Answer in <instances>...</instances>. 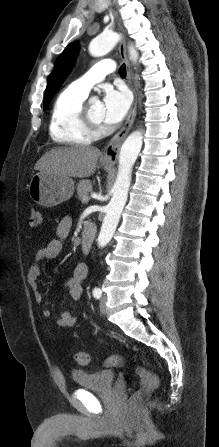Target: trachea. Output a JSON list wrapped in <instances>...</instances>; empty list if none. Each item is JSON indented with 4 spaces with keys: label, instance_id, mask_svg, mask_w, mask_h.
<instances>
[{
    "label": "trachea",
    "instance_id": "1",
    "mask_svg": "<svg viewBox=\"0 0 219 447\" xmlns=\"http://www.w3.org/2000/svg\"><path fill=\"white\" fill-rule=\"evenodd\" d=\"M119 74L121 77H126V66L123 64L119 69Z\"/></svg>",
    "mask_w": 219,
    "mask_h": 447
}]
</instances>
